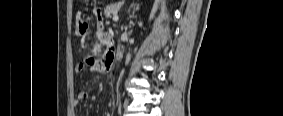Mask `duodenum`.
I'll return each mask as SVG.
<instances>
[{
  "mask_svg": "<svg viewBox=\"0 0 283 116\" xmlns=\"http://www.w3.org/2000/svg\"><path fill=\"white\" fill-rule=\"evenodd\" d=\"M109 62H110V64H112V63H113V60H112V59H110V60H109Z\"/></svg>",
  "mask_w": 283,
  "mask_h": 116,
  "instance_id": "duodenum-1",
  "label": "duodenum"
}]
</instances>
